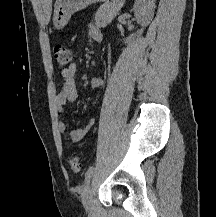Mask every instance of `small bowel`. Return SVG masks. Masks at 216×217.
Returning <instances> with one entry per match:
<instances>
[{
	"label": "small bowel",
	"instance_id": "obj_1",
	"mask_svg": "<svg viewBox=\"0 0 216 217\" xmlns=\"http://www.w3.org/2000/svg\"><path fill=\"white\" fill-rule=\"evenodd\" d=\"M89 36L94 41L100 42L102 40L101 31L94 25L89 26ZM76 65L72 63L67 68L61 70L63 85L55 98V107L58 113H63L67 103L75 102L78 97V89L75 82ZM102 77H94L91 80L90 86L92 90L99 88L103 84ZM94 120H89L86 124L73 129L70 133V138L73 142L83 140L90 132ZM58 130L61 135H65L66 126L60 121L58 123Z\"/></svg>",
	"mask_w": 216,
	"mask_h": 217
}]
</instances>
